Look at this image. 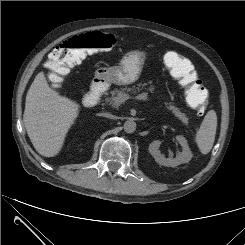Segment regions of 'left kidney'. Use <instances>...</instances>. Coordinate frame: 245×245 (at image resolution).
<instances>
[{"mask_svg":"<svg viewBox=\"0 0 245 245\" xmlns=\"http://www.w3.org/2000/svg\"><path fill=\"white\" fill-rule=\"evenodd\" d=\"M176 140L182 147V152H180L175 158H165L159 147L161 145V141L155 140L149 145V153L154 157L155 161L163 166L167 167H176L183 163H188L192 158V152L188 146L187 140L184 136L178 135L176 136Z\"/></svg>","mask_w":245,"mask_h":245,"instance_id":"left-kidney-1","label":"left kidney"}]
</instances>
